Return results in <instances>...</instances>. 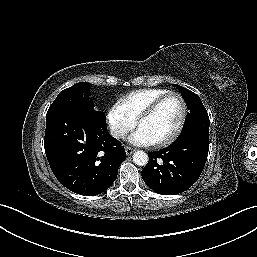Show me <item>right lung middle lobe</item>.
<instances>
[{
    "mask_svg": "<svg viewBox=\"0 0 257 257\" xmlns=\"http://www.w3.org/2000/svg\"><path fill=\"white\" fill-rule=\"evenodd\" d=\"M89 83L80 82L74 84L72 87L62 90L47 113L55 112L65 108H77L91 112L95 117L105 122V115L103 112L95 111L93 102L89 98Z\"/></svg>",
    "mask_w": 257,
    "mask_h": 257,
    "instance_id": "obj_1",
    "label": "right lung middle lobe"
}]
</instances>
